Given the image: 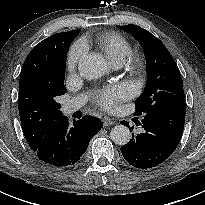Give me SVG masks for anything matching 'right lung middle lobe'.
Masks as SVG:
<instances>
[{
    "instance_id": "dd1d6c3e",
    "label": "right lung middle lobe",
    "mask_w": 205,
    "mask_h": 205,
    "mask_svg": "<svg viewBox=\"0 0 205 205\" xmlns=\"http://www.w3.org/2000/svg\"><path fill=\"white\" fill-rule=\"evenodd\" d=\"M62 77H63V80L65 79V68H64V70H63V75H62Z\"/></svg>"
}]
</instances>
